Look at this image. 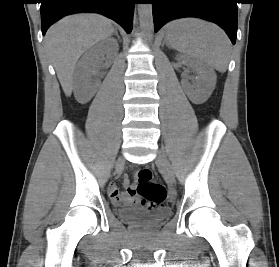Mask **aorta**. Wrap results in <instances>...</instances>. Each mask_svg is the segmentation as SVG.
Listing matches in <instances>:
<instances>
[{"label":"aorta","instance_id":"obj_1","mask_svg":"<svg viewBox=\"0 0 279 267\" xmlns=\"http://www.w3.org/2000/svg\"><path fill=\"white\" fill-rule=\"evenodd\" d=\"M138 15L140 27L143 30L146 37H152L153 31V14L151 3H139L138 4Z\"/></svg>","mask_w":279,"mask_h":267}]
</instances>
